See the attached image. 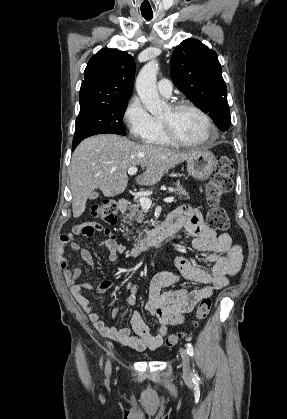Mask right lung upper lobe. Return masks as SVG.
Returning a JSON list of instances; mask_svg holds the SVG:
<instances>
[{
  "label": "right lung upper lobe",
  "instance_id": "obj_1",
  "mask_svg": "<svg viewBox=\"0 0 287 419\" xmlns=\"http://www.w3.org/2000/svg\"><path fill=\"white\" fill-rule=\"evenodd\" d=\"M84 74L80 111L128 101L134 83V58L126 52L104 48L91 57Z\"/></svg>",
  "mask_w": 287,
  "mask_h": 419
}]
</instances>
